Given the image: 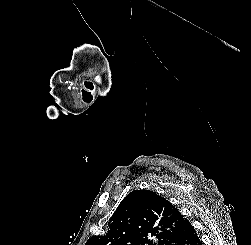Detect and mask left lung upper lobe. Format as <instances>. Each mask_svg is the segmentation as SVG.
I'll return each mask as SVG.
<instances>
[{
    "label": "left lung upper lobe",
    "instance_id": "5c2ea615",
    "mask_svg": "<svg viewBox=\"0 0 251 245\" xmlns=\"http://www.w3.org/2000/svg\"><path fill=\"white\" fill-rule=\"evenodd\" d=\"M179 209L150 190H134L119 204L104 236H92L85 245H168L187 223Z\"/></svg>",
    "mask_w": 251,
    "mask_h": 245
}]
</instances>
